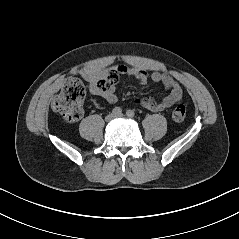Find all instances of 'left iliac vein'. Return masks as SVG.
<instances>
[{
	"label": "left iliac vein",
	"mask_w": 239,
	"mask_h": 239,
	"mask_svg": "<svg viewBox=\"0 0 239 239\" xmlns=\"http://www.w3.org/2000/svg\"><path fill=\"white\" fill-rule=\"evenodd\" d=\"M115 117H116V118H123L124 115H123V114H121V115H116Z\"/></svg>",
	"instance_id": "1"
}]
</instances>
